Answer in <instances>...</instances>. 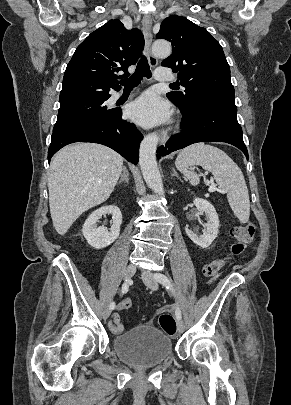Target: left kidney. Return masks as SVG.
Masks as SVG:
<instances>
[{
	"label": "left kidney",
	"mask_w": 291,
	"mask_h": 405,
	"mask_svg": "<svg viewBox=\"0 0 291 405\" xmlns=\"http://www.w3.org/2000/svg\"><path fill=\"white\" fill-rule=\"evenodd\" d=\"M194 205L200 213H205L207 223L205 224L206 230L203 235L198 236L192 232L188 227L185 228L188 237L198 246L202 248L209 247L218 235L219 218L213 205L205 199H194Z\"/></svg>",
	"instance_id": "5707ae66"
}]
</instances>
